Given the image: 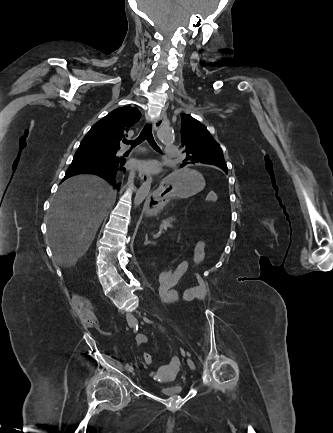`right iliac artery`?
<instances>
[{
	"mask_svg": "<svg viewBox=\"0 0 333 433\" xmlns=\"http://www.w3.org/2000/svg\"><path fill=\"white\" fill-rule=\"evenodd\" d=\"M137 331H138V325L134 328V332L136 333ZM126 367H127V368L130 367L129 363L126 364Z\"/></svg>",
	"mask_w": 333,
	"mask_h": 433,
	"instance_id": "82829eb1",
	"label": "right iliac artery"
}]
</instances>
